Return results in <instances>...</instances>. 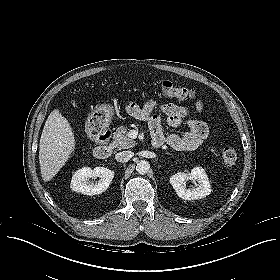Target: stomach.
Listing matches in <instances>:
<instances>
[{
  "instance_id": "obj_1",
  "label": "stomach",
  "mask_w": 280,
  "mask_h": 280,
  "mask_svg": "<svg viewBox=\"0 0 280 280\" xmlns=\"http://www.w3.org/2000/svg\"><path fill=\"white\" fill-rule=\"evenodd\" d=\"M113 115V109L110 105H102L95 109L88 117L87 127L98 125L101 121L108 122Z\"/></svg>"
}]
</instances>
